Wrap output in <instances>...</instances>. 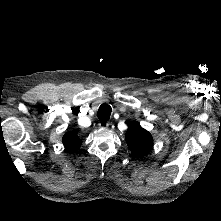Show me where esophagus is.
Wrapping results in <instances>:
<instances>
[{"label": "esophagus", "mask_w": 221, "mask_h": 221, "mask_svg": "<svg viewBox=\"0 0 221 221\" xmlns=\"http://www.w3.org/2000/svg\"><path fill=\"white\" fill-rule=\"evenodd\" d=\"M98 126H99L100 128H108L109 122L101 121V122H99Z\"/></svg>", "instance_id": "34e87169"}]
</instances>
